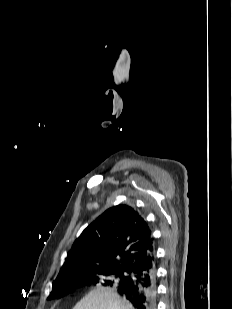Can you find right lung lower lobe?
Wrapping results in <instances>:
<instances>
[{
  "instance_id": "1",
  "label": "right lung lower lobe",
  "mask_w": 232,
  "mask_h": 309,
  "mask_svg": "<svg viewBox=\"0 0 232 309\" xmlns=\"http://www.w3.org/2000/svg\"><path fill=\"white\" fill-rule=\"evenodd\" d=\"M126 273V281L117 286L116 291L136 309H156L155 257L136 261Z\"/></svg>"
}]
</instances>
